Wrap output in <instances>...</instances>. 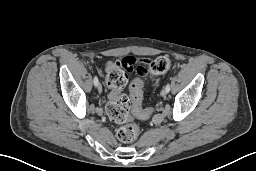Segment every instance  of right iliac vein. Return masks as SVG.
<instances>
[{"label":"right iliac vein","mask_w":256,"mask_h":171,"mask_svg":"<svg viewBox=\"0 0 256 171\" xmlns=\"http://www.w3.org/2000/svg\"><path fill=\"white\" fill-rule=\"evenodd\" d=\"M97 89H98V91H102V85L100 84V83H98V85H97Z\"/></svg>","instance_id":"right-iliac-vein-1"}]
</instances>
